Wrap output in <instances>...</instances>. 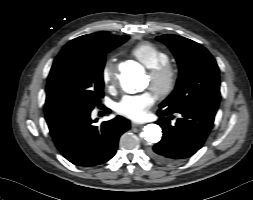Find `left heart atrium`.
I'll return each mask as SVG.
<instances>
[{
    "label": "left heart atrium",
    "instance_id": "1",
    "mask_svg": "<svg viewBox=\"0 0 253 200\" xmlns=\"http://www.w3.org/2000/svg\"><path fill=\"white\" fill-rule=\"evenodd\" d=\"M155 97L149 92H143L135 95H125L117 104L116 111L129 119L142 120L148 109L154 104Z\"/></svg>",
    "mask_w": 253,
    "mask_h": 200
}]
</instances>
